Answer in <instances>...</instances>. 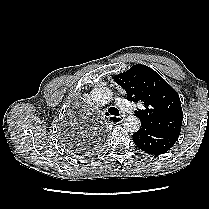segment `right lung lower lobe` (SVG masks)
I'll return each mask as SVG.
<instances>
[{
  "label": "right lung lower lobe",
  "instance_id": "obj_1",
  "mask_svg": "<svg viewBox=\"0 0 209 209\" xmlns=\"http://www.w3.org/2000/svg\"><path fill=\"white\" fill-rule=\"evenodd\" d=\"M101 142H102V138L99 137L98 140H95L92 143H87L86 145L80 144L77 146H73V148L71 150H73V152L76 153L77 155H87V154L95 151V149L99 145H101Z\"/></svg>",
  "mask_w": 209,
  "mask_h": 209
}]
</instances>
